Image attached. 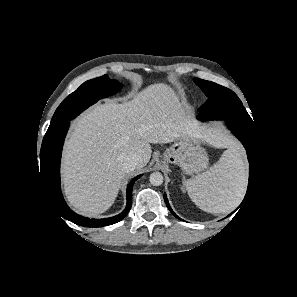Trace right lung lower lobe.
Instances as JSON below:
<instances>
[{
  "instance_id": "right-lung-lower-lobe-1",
  "label": "right lung lower lobe",
  "mask_w": 297,
  "mask_h": 297,
  "mask_svg": "<svg viewBox=\"0 0 297 297\" xmlns=\"http://www.w3.org/2000/svg\"><path fill=\"white\" fill-rule=\"evenodd\" d=\"M69 123L70 122H67L60 129L49 134L46 133L44 136L39 163V174H41L44 191L46 195H48V199L55 211L63 218L75 224L84 227H102L117 223L129 212L132 205V188L134 182L141 177V175L136 176L129 183L127 187V205L124 211L119 215L107 219H89L74 213L65 203L60 189V159Z\"/></svg>"
}]
</instances>
